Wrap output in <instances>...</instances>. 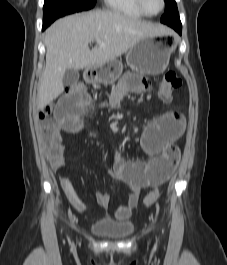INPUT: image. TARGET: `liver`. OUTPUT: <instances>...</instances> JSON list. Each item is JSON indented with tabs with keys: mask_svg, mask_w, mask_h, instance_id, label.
<instances>
[{
	"mask_svg": "<svg viewBox=\"0 0 227 265\" xmlns=\"http://www.w3.org/2000/svg\"><path fill=\"white\" fill-rule=\"evenodd\" d=\"M160 26L117 11L69 15L54 22L45 36L46 67L39 81L37 108L44 109L64 91L67 69L99 66L126 53L145 37L167 34ZM100 40L89 49V43Z\"/></svg>",
	"mask_w": 227,
	"mask_h": 265,
	"instance_id": "liver-1",
	"label": "liver"
}]
</instances>
